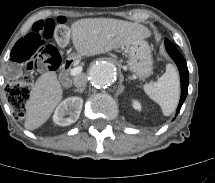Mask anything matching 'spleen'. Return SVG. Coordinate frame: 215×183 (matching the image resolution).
<instances>
[{
    "mask_svg": "<svg viewBox=\"0 0 215 183\" xmlns=\"http://www.w3.org/2000/svg\"><path fill=\"white\" fill-rule=\"evenodd\" d=\"M146 94L158 103L165 116H169L177 107L180 97V83L176 68L166 65L165 73L157 81L144 85Z\"/></svg>",
    "mask_w": 215,
    "mask_h": 183,
    "instance_id": "3e777b00",
    "label": "spleen"
}]
</instances>
